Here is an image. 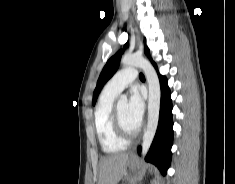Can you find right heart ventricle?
Here are the masks:
<instances>
[{
    "label": "right heart ventricle",
    "mask_w": 235,
    "mask_h": 184,
    "mask_svg": "<svg viewBox=\"0 0 235 184\" xmlns=\"http://www.w3.org/2000/svg\"><path fill=\"white\" fill-rule=\"evenodd\" d=\"M115 96L103 93L94 110V128L102 150L116 154L126 149L128 143L122 140L113 127V103Z\"/></svg>",
    "instance_id": "obj_1"
}]
</instances>
